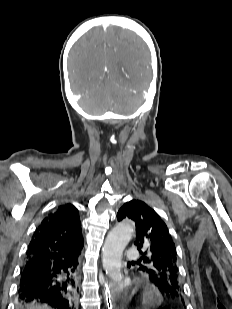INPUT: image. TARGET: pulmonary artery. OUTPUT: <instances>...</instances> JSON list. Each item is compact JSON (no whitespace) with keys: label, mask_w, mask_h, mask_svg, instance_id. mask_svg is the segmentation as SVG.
Instances as JSON below:
<instances>
[{"label":"pulmonary artery","mask_w":232,"mask_h":309,"mask_svg":"<svg viewBox=\"0 0 232 309\" xmlns=\"http://www.w3.org/2000/svg\"><path fill=\"white\" fill-rule=\"evenodd\" d=\"M126 257L130 260H136L139 257V253L136 249H130L127 251Z\"/></svg>","instance_id":"e3ab8cb5"}]
</instances>
